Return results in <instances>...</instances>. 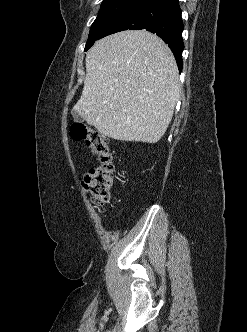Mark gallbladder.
<instances>
[{"mask_svg":"<svg viewBox=\"0 0 247 332\" xmlns=\"http://www.w3.org/2000/svg\"><path fill=\"white\" fill-rule=\"evenodd\" d=\"M72 115H73V118L76 120V119H78L79 118V114H78V112H76V111H73L72 112Z\"/></svg>","mask_w":247,"mask_h":332,"instance_id":"bac80fb5","label":"gallbladder"}]
</instances>
